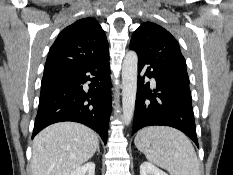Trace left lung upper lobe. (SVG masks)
I'll list each match as a JSON object with an SVG mask.
<instances>
[{
	"label": "left lung upper lobe",
	"mask_w": 233,
	"mask_h": 175,
	"mask_svg": "<svg viewBox=\"0 0 233 175\" xmlns=\"http://www.w3.org/2000/svg\"><path fill=\"white\" fill-rule=\"evenodd\" d=\"M130 47L153 66L188 78L179 44L163 27L152 22L141 24L131 38Z\"/></svg>",
	"instance_id": "left-lung-upper-lobe-1"
}]
</instances>
